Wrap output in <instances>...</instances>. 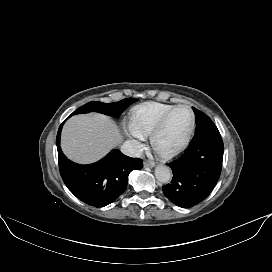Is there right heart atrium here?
<instances>
[{
  "label": "right heart atrium",
  "mask_w": 272,
  "mask_h": 272,
  "mask_svg": "<svg viewBox=\"0 0 272 272\" xmlns=\"http://www.w3.org/2000/svg\"><path fill=\"white\" fill-rule=\"evenodd\" d=\"M130 143L135 151H139L142 147L141 140L142 138L132 133L130 136Z\"/></svg>",
  "instance_id": "right-heart-atrium-1"
}]
</instances>
